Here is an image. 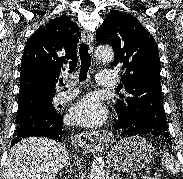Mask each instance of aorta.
I'll list each match as a JSON object with an SVG mask.
<instances>
[{
	"label": "aorta",
	"mask_w": 183,
	"mask_h": 179,
	"mask_svg": "<svg viewBox=\"0 0 183 179\" xmlns=\"http://www.w3.org/2000/svg\"><path fill=\"white\" fill-rule=\"evenodd\" d=\"M97 59L102 61H111L114 58V52L111 47L99 46L95 51ZM90 179H105L104 160L102 156L95 158L90 170Z\"/></svg>",
	"instance_id": "obj_1"
}]
</instances>
